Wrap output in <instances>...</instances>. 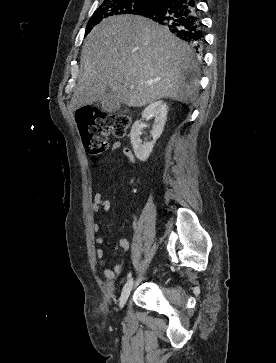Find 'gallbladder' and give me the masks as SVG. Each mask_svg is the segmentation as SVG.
I'll use <instances>...</instances> for the list:
<instances>
[{"label":"gallbladder","instance_id":"bac80fb5","mask_svg":"<svg viewBox=\"0 0 276 363\" xmlns=\"http://www.w3.org/2000/svg\"><path fill=\"white\" fill-rule=\"evenodd\" d=\"M99 103L106 112H116L121 108L120 102L110 89L106 91L105 95L99 100Z\"/></svg>","mask_w":276,"mask_h":363}]
</instances>
